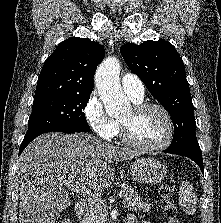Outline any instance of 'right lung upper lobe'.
I'll list each match as a JSON object with an SVG mask.
<instances>
[{"label":"right lung upper lobe","mask_w":221,"mask_h":223,"mask_svg":"<svg viewBox=\"0 0 221 223\" xmlns=\"http://www.w3.org/2000/svg\"><path fill=\"white\" fill-rule=\"evenodd\" d=\"M104 54V47L88 38L72 37L61 42L43 65L34 99L91 93Z\"/></svg>","instance_id":"obj_1"}]
</instances>
